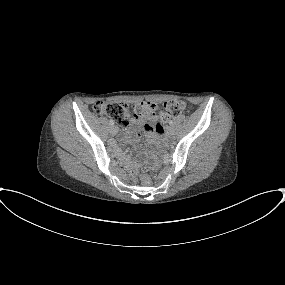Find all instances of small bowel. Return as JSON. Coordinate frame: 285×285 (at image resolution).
Wrapping results in <instances>:
<instances>
[{
    "label": "small bowel",
    "instance_id": "c3829d8e",
    "mask_svg": "<svg viewBox=\"0 0 285 285\" xmlns=\"http://www.w3.org/2000/svg\"><path fill=\"white\" fill-rule=\"evenodd\" d=\"M141 127L143 128L147 136L154 137L155 133L160 131L161 125L159 123H154L153 125L149 123L142 124L141 121L137 118H132L130 121V127L128 129V132L134 134L135 138L139 139V130Z\"/></svg>",
    "mask_w": 285,
    "mask_h": 285
}]
</instances>
